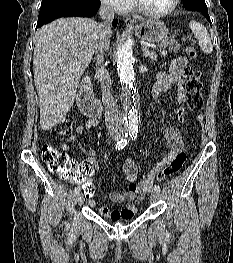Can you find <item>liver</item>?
<instances>
[{
	"mask_svg": "<svg viewBox=\"0 0 233 263\" xmlns=\"http://www.w3.org/2000/svg\"><path fill=\"white\" fill-rule=\"evenodd\" d=\"M98 25L81 17L60 18L37 31L33 73L43 130L52 129L71 109L80 78L96 51Z\"/></svg>",
	"mask_w": 233,
	"mask_h": 263,
	"instance_id": "1",
	"label": "liver"
}]
</instances>
